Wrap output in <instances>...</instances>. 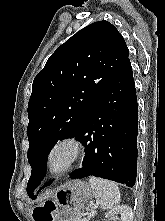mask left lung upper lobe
<instances>
[{
	"instance_id": "obj_1",
	"label": "left lung upper lobe",
	"mask_w": 165,
	"mask_h": 221,
	"mask_svg": "<svg viewBox=\"0 0 165 221\" xmlns=\"http://www.w3.org/2000/svg\"><path fill=\"white\" fill-rule=\"evenodd\" d=\"M127 45L115 26L94 22L59 46L33 81L28 103L27 194L46 174L47 157L58 140L74 137L110 82L129 60Z\"/></svg>"
}]
</instances>
